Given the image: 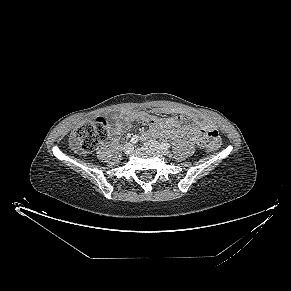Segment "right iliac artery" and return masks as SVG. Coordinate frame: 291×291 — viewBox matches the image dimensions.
<instances>
[{
  "label": "right iliac artery",
  "mask_w": 291,
  "mask_h": 291,
  "mask_svg": "<svg viewBox=\"0 0 291 291\" xmlns=\"http://www.w3.org/2000/svg\"><path fill=\"white\" fill-rule=\"evenodd\" d=\"M138 140H139V136H138V135H134V136L131 138L130 142H131L132 144H135V143L138 142Z\"/></svg>",
  "instance_id": "right-iliac-artery-1"
}]
</instances>
